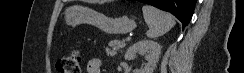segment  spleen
I'll list each match as a JSON object with an SVG mask.
<instances>
[{
    "label": "spleen",
    "instance_id": "1",
    "mask_svg": "<svg viewBox=\"0 0 244 73\" xmlns=\"http://www.w3.org/2000/svg\"><path fill=\"white\" fill-rule=\"evenodd\" d=\"M142 11L144 20L149 27L146 33L148 38L156 39L164 35L176 24L170 13H166L150 5H144Z\"/></svg>",
    "mask_w": 244,
    "mask_h": 73
}]
</instances>
